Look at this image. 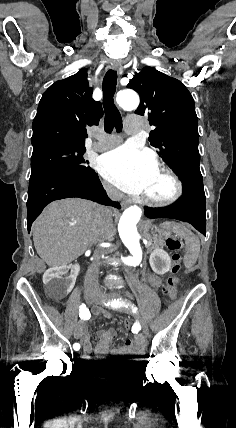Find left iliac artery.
Wrapping results in <instances>:
<instances>
[{
  "label": "left iliac artery",
  "mask_w": 236,
  "mask_h": 428,
  "mask_svg": "<svg viewBox=\"0 0 236 428\" xmlns=\"http://www.w3.org/2000/svg\"><path fill=\"white\" fill-rule=\"evenodd\" d=\"M121 300V299H120ZM111 304V307H113V308H118V307H121V306H125L126 308L128 307V305H125V303L122 301V302H120L119 301V299H117V301H116V299H114V301H111V302H108L107 304H105L106 306H109Z\"/></svg>",
  "instance_id": "left-iliac-artery-1"
}]
</instances>
